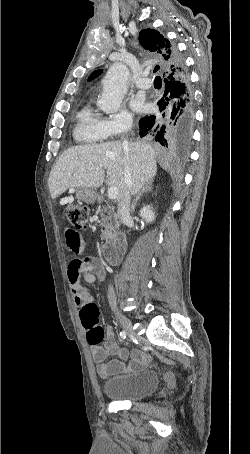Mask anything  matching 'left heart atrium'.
Wrapping results in <instances>:
<instances>
[{
  "instance_id": "1",
  "label": "left heart atrium",
  "mask_w": 250,
  "mask_h": 454,
  "mask_svg": "<svg viewBox=\"0 0 250 454\" xmlns=\"http://www.w3.org/2000/svg\"><path fill=\"white\" fill-rule=\"evenodd\" d=\"M131 106L135 111H138V112L142 111L144 109V103L139 98L134 99Z\"/></svg>"
}]
</instances>
